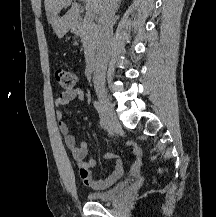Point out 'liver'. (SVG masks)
<instances>
[{"label": "liver", "instance_id": "1", "mask_svg": "<svg viewBox=\"0 0 216 217\" xmlns=\"http://www.w3.org/2000/svg\"><path fill=\"white\" fill-rule=\"evenodd\" d=\"M85 3L86 10L98 14L103 0H81ZM72 2V0H71ZM70 0H44L48 22L51 24L58 38H62L70 28H73L80 15V7L77 3L72 4L67 13L59 17L65 6L71 5Z\"/></svg>", "mask_w": 216, "mask_h": 217}]
</instances>
